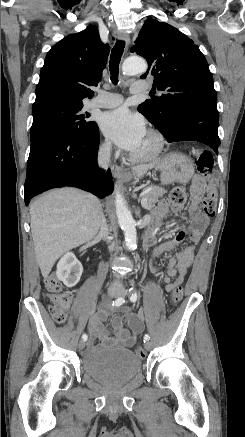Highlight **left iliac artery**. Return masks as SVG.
Returning <instances> with one entry per match:
<instances>
[{
    "label": "left iliac artery",
    "mask_w": 245,
    "mask_h": 437,
    "mask_svg": "<svg viewBox=\"0 0 245 437\" xmlns=\"http://www.w3.org/2000/svg\"><path fill=\"white\" fill-rule=\"evenodd\" d=\"M130 301L131 302H136L137 301V292H136V290L134 288L130 289ZM149 338H150L149 335L146 334L144 336V342L148 341Z\"/></svg>",
    "instance_id": "left-iliac-artery-1"
}]
</instances>
